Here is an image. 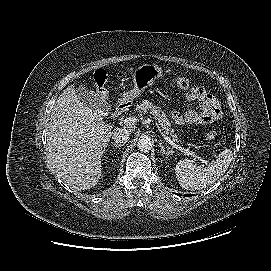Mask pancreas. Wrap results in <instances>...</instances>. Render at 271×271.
Instances as JSON below:
<instances>
[{
	"mask_svg": "<svg viewBox=\"0 0 271 271\" xmlns=\"http://www.w3.org/2000/svg\"><path fill=\"white\" fill-rule=\"evenodd\" d=\"M136 112L139 114L147 113L149 112L158 120L162 128L165 130L167 134L170 135V137L173 139V141H178L177 135L174 134V130L170 129V122L167 119L166 113L161 110L160 107L153 105L151 102L147 100H143L139 105L135 108Z\"/></svg>",
	"mask_w": 271,
	"mask_h": 271,
	"instance_id": "pancreas-1",
	"label": "pancreas"
}]
</instances>
